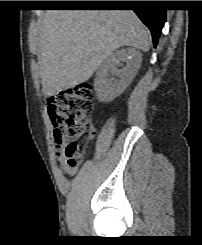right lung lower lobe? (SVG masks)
I'll return each instance as SVG.
<instances>
[{
    "instance_id": "right-lung-lower-lobe-1",
    "label": "right lung lower lobe",
    "mask_w": 202,
    "mask_h": 245,
    "mask_svg": "<svg viewBox=\"0 0 202 245\" xmlns=\"http://www.w3.org/2000/svg\"><path fill=\"white\" fill-rule=\"evenodd\" d=\"M80 6H108L97 3H83ZM133 11L138 15L141 21L150 29L154 47L158 43V39L162 32V28L166 21V10L153 7L152 1H135L131 4Z\"/></svg>"
}]
</instances>
